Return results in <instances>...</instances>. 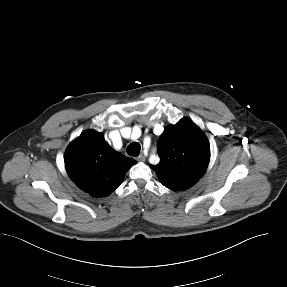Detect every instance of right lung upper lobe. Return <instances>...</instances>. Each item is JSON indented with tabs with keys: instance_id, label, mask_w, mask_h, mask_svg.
<instances>
[{
	"instance_id": "obj_1",
	"label": "right lung upper lobe",
	"mask_w": 287,
	"mask_h": 287,
	"mask_svg": "<svg viewBox=\"0 0 287 287\" xmlns=\"http://www.w3.org/2000/svg\"><path fill=\"white\" fill-rule=\"evenodd\" d=\"M65 167L69 177L83 191L95 197L109 195L123 182L135 160L113 150L102 133L88 130L67 148Z\"/></svg>"
}]
</instances>
